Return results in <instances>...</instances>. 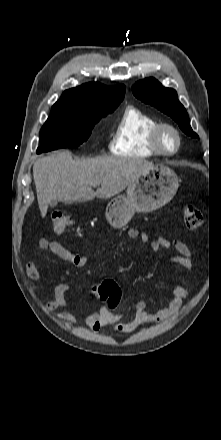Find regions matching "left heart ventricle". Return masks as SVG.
I'll use <instances>...</instances> for the list:
<instances>
[{
	"label": "left heart ventricle",
	"instance_id": "b2bd125f",
	"mask_svg": "<svg viewBox=\"0 0 221 440\" xmlns=\"http://www.w3.org/2000/svg\"><path fill=\"white\" fill-rule=\"evenodd\" d=\"M163 145L167 149H172L175 146V137L170 131L164 133Z\"/></svg>",
	"mask_w": 221,
	"mask_h": 440
}]
</instances>
